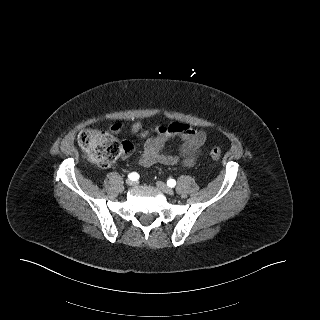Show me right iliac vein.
I'll use <instances>...</instances> for the list:
<instances>
[{
    "instance_id": "right-iliac-vein-1",
    "label": "right iliac vein",
    "mask_w": 320,
    "mask_h": 320,
    "mask_svg": "<svg viewBox=\"0 0 320 320\" xmlns=\"http://www.w3.org/2000/svg\"><path fill=\"white\" fill-rule=\"evenodd\" d=\"M126 183H127V185H129V186H133V185L135 184V182L132 181V180H130V179H128V180L126 181Z\"/></svg>"
}]
</instances>
